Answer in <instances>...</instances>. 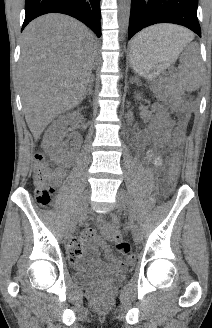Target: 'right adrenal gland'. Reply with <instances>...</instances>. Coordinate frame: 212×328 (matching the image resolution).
<instances>
[{
	"instance_id": "obj_1",
	"label": "right adrenal gland",
	"mask_w": 212,
	"mask_h": 328,
	"mask_svg": "<svg viewBox=\"0 0 212 328\" xmlns=\"http://www.w3.org/2000/svg\"><path fill=\"white\" fill-rule=\"evenodd\" d=\"M92 82H93V79L90 80L88 88L85 91L83 99H85L88 94H92Z\"/></svg>"
}]
</instances>
